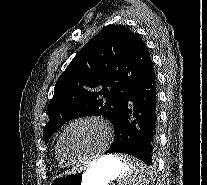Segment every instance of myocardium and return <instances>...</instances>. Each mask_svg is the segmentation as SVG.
Segmentation results:
<instances>
[{
	"mask_svg": "<svg viewBox=\"0 0 207 185\" xmlns=\"http://www.w3.org/2000/svg\"><path fill=\"white\" fill-rule=\"evenodd\" d=\"M82 121H95L104 127L109 138L113 137V135H114L113 128L110 126V124L106 120H104L103 118H101L99 116L85 115V116H81L79 118L74 119L63 129V131L61 132L60 138H59V149H60L62 156L66 160H68L69 162H72V163H81V162L88 160V159L98 158L102 155V150H100L99 152L92 153V154H89V155L81 157V158H74L65 149L64 139H65L66 133L73 125H75L79 122H82Z\"/></svg>",
	"mask_w": 207,
	"mask_h": 185,
	"instance_id": "f54148a6",
	"label": "myocardium"
}]
</instances>
